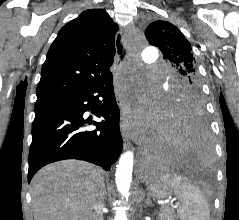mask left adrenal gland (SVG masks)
<instances>
[{
	"mask_svg": "<svg viewBox=\"0 0 239 220\" xmlns=\"http://www.w3.org/2000/svg\"><path fill=\"white\" fill-rule=\"evenodd\" d=\"M145 204H146L147 206L152 205V202H151V199H150L149 196L145 199Z\"/></svg>",
	"mask_w": 239,
	"mask_h": 220,
	"instance_id": "left-adrenal-gland-1",
	"label": "left adrenal gland"
}]
</instances>
